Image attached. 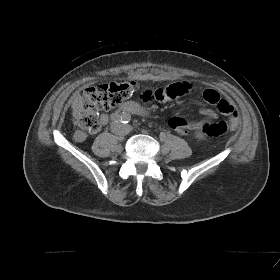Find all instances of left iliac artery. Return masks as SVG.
<instances>
[{"label": "left iliac artery", "instance_id": "44dca946", "mask_svg": "<svg viewBox=\"0 0 280 280\" xmlns=\"http://www.w3.org/2000/svg\"><path fill=\"white\" fill-rule=\"evenodd\" d=\"M131 119V116L129 113H123L122 114V118L121 120L124 122V123H128Z\"/></svg>", "mask_w": 280, "mask_h": 280}]
</instances>
